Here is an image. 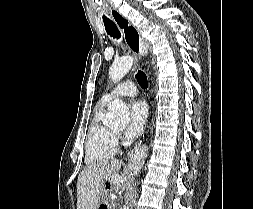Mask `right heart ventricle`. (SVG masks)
Here are the masks:
<instances>
[{
  "label": "right heart ventricle",
  "mask_w": 253,
  "mask_h": 209,
  "mask_svg": "<svg viewBox=\"0 0 253 209\" xmlns=\"http://www.w3.org/2000/svg\"><path fill=\"white\" fill-rule=\"evenodd\" d=\"M103 101L95 109L85 143L86 162L95 164L112 158L118 150L117 138L114 131L103 124Z\"/></svg>",
  "instance_id": "obj_1"
}]
</instances>
